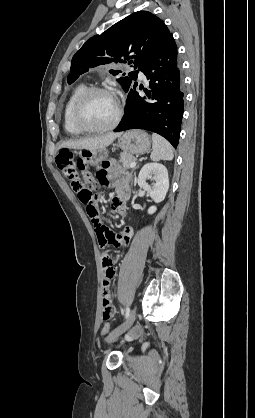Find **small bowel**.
<instances>
[{
    "mask_svg": "<svg viewBox=\"0 0 255 418\" xmlns=\"http://www.w3.org/2000/svg\"><path fill=\"white\" fill-rule=\"evenodd\" d=\"M98 180L102 184L115 187V195L112 197V208L120 215L126 213V200L129 197V187L127 179L115 172L111 166L106 163L98 172ZM98 235L96 241L100 248L99 253L101 255L102 271H103V297L101 307V319L102 320H114L115 308L112 303V297L110 293L111 281L116 273L115 260L112 255H118L121 246L127 245L132 236V229L124 228L120 233L112 234L108 227H99L97 230ZM111 243L116 248H110ZM112 254V255H111ZM109 328V325H108Z\"/></svg>",
    "mask_w": 255,
    "mask_h": 418,
    "instance_id": "c3829d8e",
    "label": "small bowel"
}]
</instances>
